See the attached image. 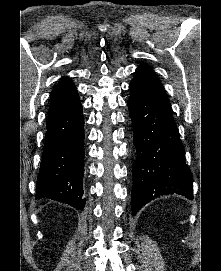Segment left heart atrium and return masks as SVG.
Masks as SVG:
<instances>
[{
  "instance_id": "39dd6f15",
  "label": "left heart atrium",
  "mask_w": 221,
  "mask_h": 271,
  "mask_svg": "<svg viewBox=\"0 0 221 271\" xmlns=\"http://www.w3.org/2000/svg\"><path fill=\"white\" fill-rule=\"evenodd\" d=\"M99 87H103V86H99ZM94 93V97H95V94H108V92H93ZM141 94H143V93H141Z\"/></svg>"
}]
</instances>
